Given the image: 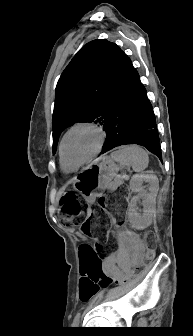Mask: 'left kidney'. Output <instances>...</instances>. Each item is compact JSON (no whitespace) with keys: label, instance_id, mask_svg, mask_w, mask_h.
<instances>
[{"label":"left kidney","instance_id":"left-kidney-1","mask_svg":"<svg viewBox=\"0 0 193 336\" xmlns=\"http://www.w3.org/2000/svg\"><path fill=\"white\" fill-rule=\"evenodd\" d=\"M143 183H148L149 192L143 189ZM130 189L137 192L129 203L128 219L137 229H145L152 223L153 214L156 206V196L159 190V181L153 171H147L141 174H135L130 180ZM143 199V213L137 212V201Z\"/></svg>","mask_w":193,"mask_h":336}]
</instances>
